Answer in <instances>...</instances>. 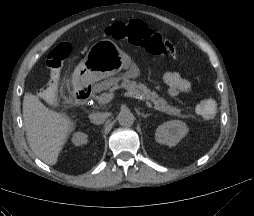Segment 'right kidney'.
I'll list each match as a JSON object with an SVG mask.
<instances>
[{"mask_svg":"<svg viewBox=\"0 0 254 216\" xmlns=\"http://www.w3.org/2000/svg\"><path fill=\"white\" fill-rule=\"evenodd\" d=\"M87 141H88V136H87V134H85L83 132H77L72 137V143L75 146H82V145L86 144Z\"/></svg>","mask_w":254,"mask_h":216,"instance_id":"1","label":"right kidney"}]
</instances>
